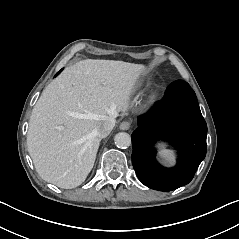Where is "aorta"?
Listing matches in <instances>:
<instances>
[{
	"mask_svg": "<svg viewBox=\"0 0 239 239\" xmlns=\"http://www.w3.org/2000/svg\"><path fill=\"white\" fill-rule=\"evenodd\" d=\"M115 145L122 149L128 148L131 145V136L125 132H120L116 134Z\"/></svg>",
	"mask_w": 239,
	"mask_h": 239,
	"instance_id": "762f6f07",
	"label": "aorta"
}]
</instances>
